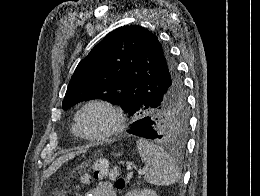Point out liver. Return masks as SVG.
Returning <instances> with one entry per match:
<instances>
[{"mask_svg": "<svg viewBox=\"0 0 260 196\" xmlns=\"http://www.w3.org/2000/svg\"><path fill=\"white\" fill-rule=\"evenodd\" d=\"M87 150L88 146H85V148H78L77 152H70V154L60 156V158H58V160H55V162L51 164L50 168H48L46 178H48V176H51V174H55L58 168H61L62 164H65V162H68V160H73V158H76V156H79V154H85Z\"/></svg>", "mask_w": 260, "mask_h": 196, "instance_id": "6515ba94", "label": "liver"}]
</instances>
